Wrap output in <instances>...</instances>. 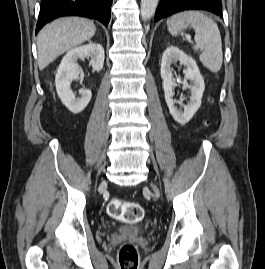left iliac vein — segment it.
<instances>
[{"label": "left iliac vein", "mask_w": 265, "mask_h": 269, "mask_svg": "<svg viewBox=\"0 0 265 269\" xmlns=\"http://www.w3.org/2000/svg\"><path fill=\"white\" fill-rule=\"evenodd\" d=\"M153 190L155 192V194L158 196L159 195V190L156 186H153Z\"/></svg>", "instance_id": "1"}]
</instances>
